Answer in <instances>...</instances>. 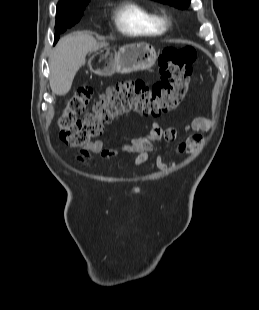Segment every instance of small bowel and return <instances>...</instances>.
Instances as JSON below:
<instances>
[{"label": "small bowel", "mask_w": 259, "mask_h": 310, "mask_svg": "<svg viewBox=\"0 0 259 310\" xmlns=\"http://www.w3.org/2000/svg\"><path fill=\"white\" fill-rule=\"evenodd\" d=\"M212 126L213 122L205 117L194 118L181 128H175L173 126L162 127L158 123H153L151 128L143 135H126L125 142L123 143L107 146L105 140H96L81 148L75 154V158L82 164L90 166L94 161V154L100 155L103 160H108L119 151L124 150L135 153L134 164L135 166H141L152 158L154 144L156 142H162L165 144L172 143L176 141L179 134L183 132L192 131L195 133L191 134L185 141L179 143L175 147V151L177 153H191L196 151L204 143L203 135L200 132L208 131ZM163 153L164 151L162 150L155 156L157 167L161 169L174 167V165L164 162Z\"/></svg>", "instance_id": "c3829d8e"}]
</instances>
